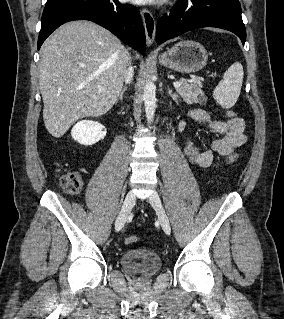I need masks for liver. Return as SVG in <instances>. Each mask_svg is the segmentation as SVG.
<instances>
[{
  "instance_id": "liver-1",
  "label": "liver",
  "mask_w": 284,
  "mask_h": 319,
  "mask_svg": "<svg viewBox=\"0 0 284 319\" xmlns=\"http://www.w3.org/2000/svg\"><path fill=\"white\" fill-rule=\"evenodd\" d=\"M126 64L120 40L95 23L72 21L52 33L41 47L39 68L48 132L60 138L77 120L108 112L123 87Z\"/></svg>"
}]
</instances>
